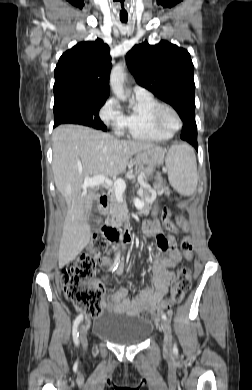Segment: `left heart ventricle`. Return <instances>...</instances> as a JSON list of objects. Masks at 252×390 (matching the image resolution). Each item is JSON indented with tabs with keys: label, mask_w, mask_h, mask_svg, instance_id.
<instances>
[{
	"label": "left heart ventricle",
	"mask_w": 252,
	"mask_h": 390,
	"mask_svg": "<svg viewBox=\"0 0 252 390\" xmlns=\"http://www.w3.org/2000/svg\"><path fill=\"white\" fill-rule=\"evenodd\" d=\"M162 123L167 129H173L177 126V119L170 111H165L162 115Z\"/></svg>",
	"instance_id": "obj_1"
}]
</instances>
